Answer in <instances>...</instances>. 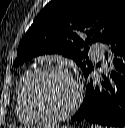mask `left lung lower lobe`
Returning <instances> with one entry per match:
<instances>
[{"mask_svg": "<svg viewBox=\"0 0 125 128\" xmlns=\"http://www.w3.org/2000/svg\"><path fill=\"white\" fill-rule=\"evenodd\" d=\"M113 58L110 81L104 77L99 85L90 80L85 98L72 121L87 120L111 128L125 126V26L107 43ZM108 59V54H105ZM100 64H98L99 66ZM88 70L84 73L87 79Z\"/></svg>", "mask_w": 125, "mask_h": 128, "instance_id": "1", "label": "left lung lower lobe"}]
</instances>
